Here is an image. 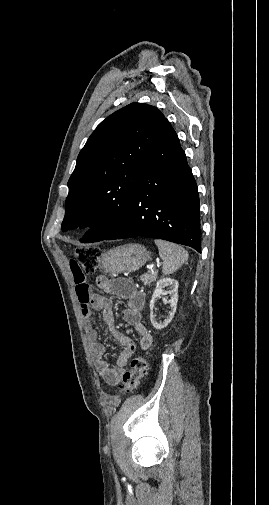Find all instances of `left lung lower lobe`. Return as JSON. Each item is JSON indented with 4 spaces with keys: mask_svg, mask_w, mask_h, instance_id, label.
<instances>
[{
    "mask_svg": "<svg viewBox=\"0 0 269 505\" xmlns=\"http://www.w3.org/2000/svg\"><path fill=\"white\" fill-rule=\"evenodd\" d=\"M139 236L160 238L201 251L197 184L177 134L166 118L131 193L126 217L102 240Z\"/></svg>",
    "mask_w": 269,
    "mask_h": 505,
    "instance_id": "0a47b994",
    "label": "left lung lower lobe"
}]
</instances>
